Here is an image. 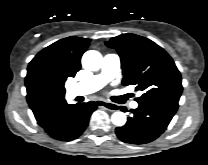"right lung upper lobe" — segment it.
I'll return each instance as SVG.
<instances>
[{"label":"right lung upper lobe","instance_id":"1","mask_svg":"<svg viewBox=\"0 0 208 165\" xmlns=\"http://www.w3.org/2000/svg\"><path fill=\"white\" fill-rule=\"evenodd\" d=\"M90 39L71 36L61 39L40 51L29 63L27 75L54 79L74 77L81 68L80 59ZM65 92L37 97L27 91V101L35 117L48 108L65 101Z\"/></svg>","mask_w":208,"mask_h":165}]
</instances>
